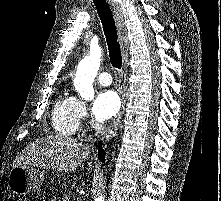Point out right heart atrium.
I'll return each mask as SVG.
<instances>
[{"mask_svg":"<svg viewBox=\"0 0 221 201\" xmlns=\"http://www.w3.org/2000/svg\"><path fill=\"white\" fill-rule=\"evenodd\" d=\"M76 116L78 122H85L87 119V109L85 103L79 99H76Z\"/></svg>","mask_w":221,"mask_h":201,"instance_id":"d8ad5b80","label":"right heart atrium"}]
</instances>
